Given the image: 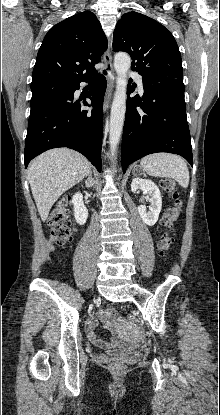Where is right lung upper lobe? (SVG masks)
<instances>
[{"label": "right lung upper lobe", "instance_id": "1", "mask_svg": "<svg viewBox=\"0 0 220 415\" xmlns=\"http://www.w3.org/2000/svg\"><path fill=\"white\" fill-rule=\"evenodd\" d=\"M107 49V39L97 17L90 11L73 15L54 25L37 54L33 82L59 80L69 83L87 79Z\"/></svg>", "mask_w": 220, "mask_h": 415}]
</instances>
